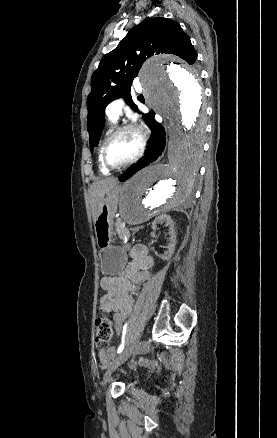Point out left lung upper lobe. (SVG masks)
I'll list each match as a JSON object with an SVG mask.
<instances>
[{"label": "left lung upper lobe", "instance_id": "5c2ea615", "mask_svg": "<svg viewBox=\"0 0 277 438\" xmlns=\"http://www.w3.org/2000/svg\"><path fill=\"white\" fill-rule=\"evenodd\" d=\"M174 54L194 64L197 52L189 36L176 21L153 17L133 27L118 46L101 60L91 77V93L87 98V130L89 143L97 146L105 122V107L114 99L124 97L136 111L130 91L143 62L153 54ZM154 113L143 115L150 123Z\"/></svg>", "mask_w": 277, "mask_h": 438}]
</instances>
